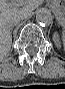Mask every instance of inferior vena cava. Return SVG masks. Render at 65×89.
Returning a JSON list of instances; mask_svg holds the SVG:
<instances>
[{
  "mask_svg": "<svg viewBox=\"0 0 65 89\" xmlns=\"http://www.w3.org/2000/svg\"><path fill=\"white\" fill-rule=\"evenodd\" d=\"M24 18H25L24 16H21V17H19V18H15V19L12 21V25L18 24V22H19L20 20L24 19Z\"/></svg>",
  "mask_w": 65,
  "mask_h": 89,
  "instance_id": "inferior-vena-cava-1",
  "label": "inferior vena cava"
}]
</instances>
